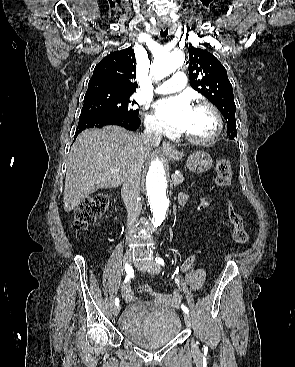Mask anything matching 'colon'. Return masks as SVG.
I'll return each instance as SVG.
<instances>
[{
  "label": "colon",
  "mask_w": 295,
  "mask_h": 367,
  "mask_svg": "<svg viewBox=\"0 0 295 367\" xmlns=\"http://www.w3.org/2000/svg\"><path fill=\"white\" fill-rule=\"evenodd\" d=\"M216 182L220 187H226L230 184L232 171L231 164L227 159H220L216 162ZM194 211L206 212L212 201L215 199L211 195H194ZM108 204L107 196L103 193H98L86 198L82 201L75 210L73 227L76 231H82L99 218L105 211ZM228 219L233 226L232 238L240 245H243L248 240L247 232L243 225L241 215L236 211L231 202L227 205ZM142 292L151 294L152 289L149 285L141 286Z\"/></svg>",
  "instance_id": "obj_1"
}]
</instances>
